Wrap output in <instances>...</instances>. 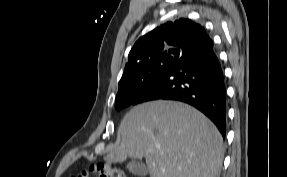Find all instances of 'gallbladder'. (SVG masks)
I'll return each mask as SVG.
<instances>
[{"mask_svg": "<svg viewBox=\"0 0 287 177\" xmlns=\"http://www.w3.org/2000/svg\"><path fill=\"white\" fill-rule=\"evenodd\" d=\"M127 169L134 175L137 176H146L148 169L144 163L140 160H131L127 164Z\"/></svg>", "mask_w": 287, "mask_h": 177, "instance_id": "gallbladder-1", "label": "gallbladder"}]
</instances>
